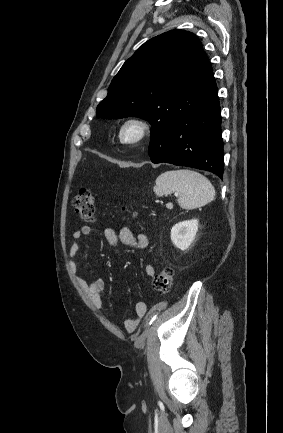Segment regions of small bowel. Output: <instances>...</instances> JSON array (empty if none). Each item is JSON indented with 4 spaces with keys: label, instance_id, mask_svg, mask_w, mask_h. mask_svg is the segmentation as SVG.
Here are the masks:
<instances>
[{
    "label": "small bowel",
    "instance_id": "small-bowel-1",
    "mask_svg": "<svg viewBox=\"0 0 283 433\" xmlns=\"http://www.w3.org/2000/svg\"><path fill=\"white\" fill-rule=\"evenodd\" d=\"M92 232L91 225H83L78 230L74 231L72 235V242L69 250L71 260V267L76 274V280L82 290L88 295L93 302L94 306L98 309L102 307V298L105 290V282L102 279L87 281L78 275L79 267L76 261V256L80 248V241L83 237L90 235ZM104 238L111 247H117L120 244L130 246L135 249L143 250L149 244L148 237L144 233L134 235L129 227H123L119 232L114 229H106L104 231ZM145 273L149 277L155 275V268L152 264L145 266ZM147 305L145 302L140 301L135 306V317H130L125 320L124 326L127 331L133 332L137 329L141 318L145 315Z\"/></svg>",
    "mask_w": 283,
    "mask_h": 433
}]
</instances>
